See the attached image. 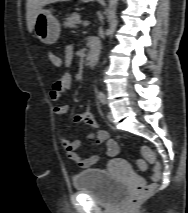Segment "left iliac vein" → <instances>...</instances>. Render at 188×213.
I'll return each instance as SVG.
<instances>
[{
    "label": "left iliac vein",
    "mask_w": 188,
    "mask_h": 213,
    "mask_svg": "<svg viewBox=\"0 0 188 213\" xmlns=\"http://www.w3.org/2000/svg\"><path fill=\"white\" fill-rule=\"evenodd\" d=\"M107 118H108V120H109L110 122H113L114 117H113V113H112L111 111L108 112Z\"/></svg>",
    "instance_id": "left-iliac-vein-1"
}]
</instances>
